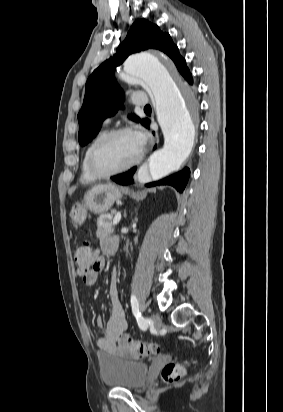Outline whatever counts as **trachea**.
<instances>
[{
  "label": "trachea",
  "instance_id": "1",
  "mask_svg": "<svg viewBox=\"0 0 283 412\" xmlns=\"http://www.w3.org/2000/svg\"><path fill=\"white\" fill-rule=\"evenodd\" d=\"M144 110H151V106L150 105L145 106Z\"/></svg>",
  "mask_w": 283,
  "mask_h": 412
}]
</instances>
